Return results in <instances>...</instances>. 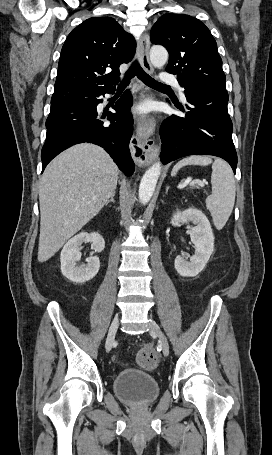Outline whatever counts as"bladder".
Segmentation results:
<instances>
[{
	"label": "bladder",
	"mask_w": 272,
	"mask_h": 455,
	"mask_svg": "<svg viewBox=\"0 0 272 455\" xmlns=\"http://www.w3.org/2000/svg\"><path fill=\"white\" fill-rule=\"evenodd\" d=\"M113 390L122 402L132 406L149 405L160 392L159 384L152 375L136 369L119 372L113 380Z\"/></svg>",
	"instance_id": "1"
}]
</instances>
